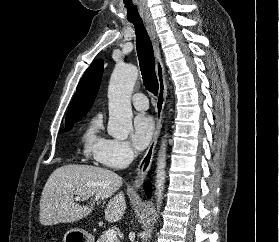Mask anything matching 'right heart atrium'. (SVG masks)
Wrapping results in <instances>:
<instances>
[{"instance_id":"right-heart-atrium-1","label":"right heart atrium","mask_w":279,"mask_h":242,"mask_svg":"<svg viewBox=\"0 0 279 242\" xmlns=\"http://www.w3.org/2000/svg\"><path fill=\"white\" fill-rule=\"evenodd\" d=\"M133 158L134 152L128 142L111 139L95 159L106 167L120 169L129 165Z\"/></svg>"}]
</instances>
